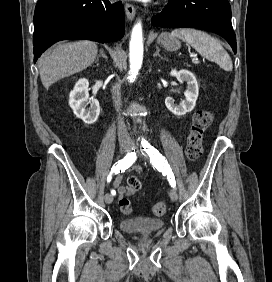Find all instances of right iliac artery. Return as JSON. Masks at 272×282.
Segmentation results:
<instances>
[{
    "label": "right iliac artery",
    "instance_id": "82829eb1",
    "mask_svg": "<svg viewBox=\"0 0 272 282\" xmlns=\"http://www.w3.org/2000/svg\"><path fill=\"white\" fill-rule=\"evenodd\" d=\"M136 160V153L130 152L128 153L122 160H119L115 165H113L110 174L107 177V181L109 182L112 178V174H118L119 172H123L128 169ZM111 194L115 195L116 191L111 190Z\"/></svg>",
    "mask_w": 272,
    "mask_h": 282
}]
</instances>
